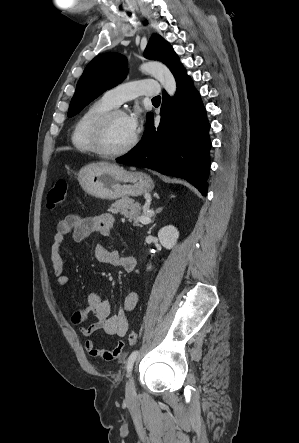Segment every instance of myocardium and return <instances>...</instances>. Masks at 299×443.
<instances>
[{"label": "myocardium", "mask_w": 299, "mask_h": 443, "mask_svg": "<svg viewBox=\"0 0 299 443\" xmlns=\"http://www.w3.org/2000/svg\"><path fill=\"white\" fill-rule=\"evenodd\" d=\"M117 116H127L126 112L122 109L113 108L106 111L96 120L92 132L91 143L94 152L104 158H117L129 153L137 144L139 136L135 132L132 140L122 149L117 151H109L104 146V137L110 122Z\"/></svg>", "instance_id": "1"}]
</instances>
